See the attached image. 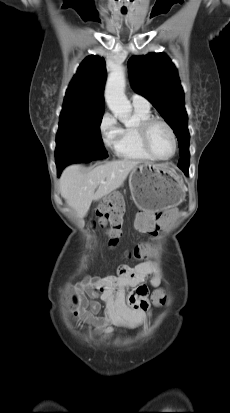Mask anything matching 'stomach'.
<instances>
[{
	"mask_svg": "<svg viewBox=\"0 0 230 413\" xmlns=\"http://www.w3.org/2000/svg\"><path fill=\"white\" fill-rule=\"evenodd\" d=\"M129 187L136 206L152 212L179 205L185 196L180 177L161 164L144 163L133 168Z\"/></svg>",
	"mask_w": 230,
	"mask_h": 413,
	"instance_id": "stomach-1",
	"label": "stomach"
}]
</instances>
